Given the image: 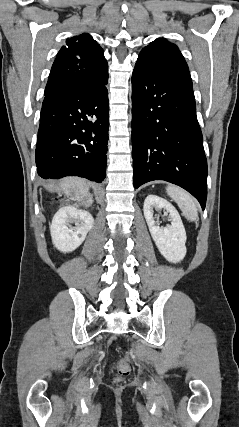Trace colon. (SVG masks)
<instances>
[{"mask_svg":"<svg viewBox=\"0 0 239 427\" xmlns=\"http://www.w3.org/2000/svg\"><path fill=\"white\" fill-rule=\"evenodd\" d=\"M113 372L116 375L117 381H123L124 378L129 374L130 367L125 360H121L114 365Z\"/></svg>","mask_w":239,"mask_h":427,"instance_id":"obj_1","label":"colon"}]
</instances>
